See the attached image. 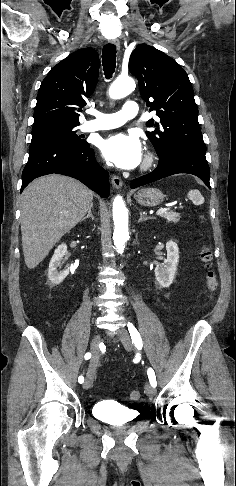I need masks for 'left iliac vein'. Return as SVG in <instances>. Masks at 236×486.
Returning <instances> with one entry per match:
<instances>
[{"label":"left iliac vein","mask_w":236,"mask_h":486,"mask_svg":"<svg viewBox=\"0 0 236 486\" xmlns=\"http://www.w3.org/2000/svg\"><path fill=\"white\" fill-rule=\"evenodd\" d=\"M118 336L122 342V344L124 345V347L128 350H132L134 349V344L132 342V339L130 337V334L129 332L125 329V328H121L119 331H118ZM145 393L149 396V397H153L155 396L156 394V389L155 387H153L151 384L147 383L145 385Z\"/></svg>","instance_id":"1"}]
</instances>
